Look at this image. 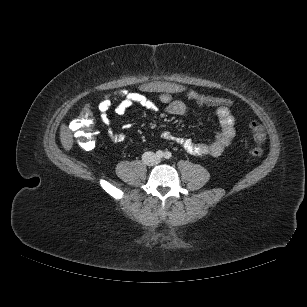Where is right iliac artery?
Returning <instances> with one entry per match:
<instances>
[{
  "label": "right iliac artery",
  "instance_id": "obj_1",
  "mask_svg": "<svg viewBox=\"0 0 307 307\" xmlns=\"http://www.w3.org/2000/svg\"><path fill=\"white\" fill-rule=\"evenodd\" d=\"M163 156H164V153H163L161 150H158V151L156 152V157H157L158 159H161Z\"/></svg>",
  "mask_w": 307,
  "mask_h": 307
}]
</instances>
